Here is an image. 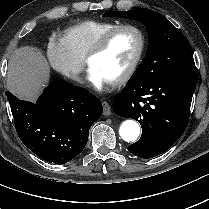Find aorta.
<instances>
[{"mask_svg": "<svg viewBox=\"0 0 209 209\" xmlns=\"http://www.w3.org/2000/svg\"><path fill=\"white\" fill-rule=\"evenodd\" d=\"M121 138L126 142H134L140 134V126L135 120H125L119 129Z\"/></svg>", "mask_w": 209, "mask_h": 209, "instance_id": "obj_1", "label": "aorta"}]
</instances>
